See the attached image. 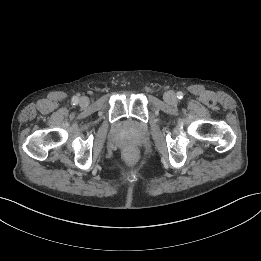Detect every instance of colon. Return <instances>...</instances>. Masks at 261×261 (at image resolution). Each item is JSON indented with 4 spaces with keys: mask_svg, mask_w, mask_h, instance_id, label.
<instances>
[{
    "mask_svg": "<svg viewBox=\"0 0 261 261\" xmlns=\"http://www.w3.org/2000/svg\"><path fill=\"white\" fill-rule=\"evenodd\" d=\"M136 155V151L133 148H129L125 151V157L127 159H133Z\"/></svg>",
    "mask_w": 261,
    "mask_h": 261,
    "instance_id": "obj_1",
    "label": "colon"
}]
</instances>
